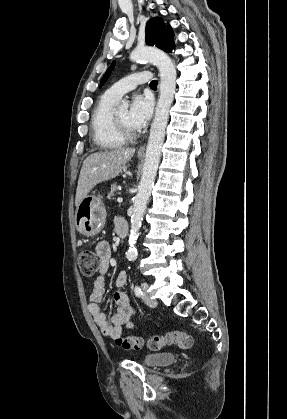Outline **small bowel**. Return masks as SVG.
I'll list each match as a JSON object with an SVG mask.
<instances>
[{"label": "small bowel", "mask_w": 287, "mask_h": 419, "mask_svg": "<svg viewBox=\"0 0 287 419\" xmlns=\"http://www.w3.org/2000/svg\"><path fill=\"white\" fill-rule=\"evenodd\" d=\"M122 223H125V221L122 219L116 220V228ZM96 253L101 258V268L100 274L94 280L93 290L90 295L88 309L94 321L100 328L101 332L112 339H117L121 336L123 327H127L129 329L134 328V324L132 323L131 319L135 314V309L131 304L128 295L125 292L118 291L114 294V300L117 304V310L114 313L111 321L107 319L104 311L100 307V303L105 293L104 274L106 273L109 267V261L111 256V251L108 243L105 241L98 243L96 246ZM127 280V273L124 271L120 272L116 278V286H124L127 283Z\"/></svg>", "instance_id": "obj_1"}]
</instances>
